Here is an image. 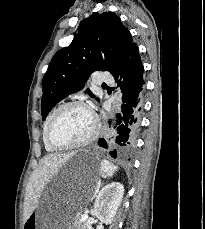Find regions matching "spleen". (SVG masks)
I'll use <instances>...</instances> for the list:
<instances>
[{
  "instance_id": "obj_1",
  "label": "spleen",
  "mask_w": 205,
  "mask_h": 229,
  "mask_svg": "<svg viewBox=\"0 0 205 229\" xmlns=\"http://www.w3.org/2000/svg\"><path fill=\"white\" fill-rule=\"evenodd\" d=\"M101 169L107 177H112L114 173L118 170V166L110 163L107 160H102Z\"/></svg>"
}]
</instances>
